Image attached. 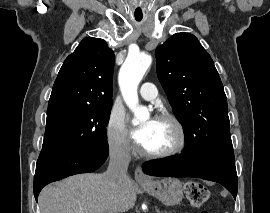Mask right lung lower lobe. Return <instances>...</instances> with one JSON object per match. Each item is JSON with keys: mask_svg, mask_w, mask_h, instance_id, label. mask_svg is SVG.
<instances>
[{"mask_svg": "<svg viewBox=\"0 0 270 213\" xmlns=\"http://www.w3.org/2000/svg\"><path fill=\"white\" fill-rule=\"evenodd\" d=\"M108 157V144L80 150L41 151L34 176V196L38 201L41 189L57 180L97 170Z\"/></svg>", "mask_w": 270, "mask_h": 213, "instance_id": "1", "label": "right lung lower lobe"}]
</instances>
